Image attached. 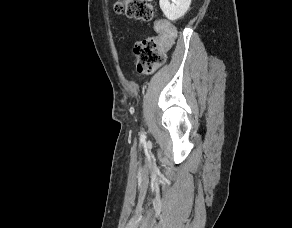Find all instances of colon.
<instances>
[{
  "label": "colon",
  "instance_id": "obj_1",
  "mask_svg": "<svg viewBox=\"0 0 292 228\" xmlns=\"http://www.w3.org/2000/svg\"><path fill=\"white\" fill-rule=\"evenodd\" d=\"M117 13L128 18L150 21L153 18V7L143 0H120L115 3ZM157 35L135 43L133 54L138 72L150 74L164 63L165 52L174 40L173 28L163 22L155 25Z\"/></svg>",
  "mask_w": 292,
  "mask_h": 228
}]
</instances>
